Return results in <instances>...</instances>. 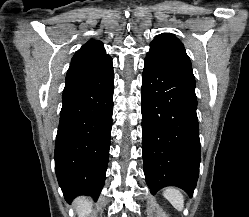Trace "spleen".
<instances>
[{"mask_svg":"<svg viewBox=\"0 0 249 217\" xmlns=\"http://www.w3.org/2000/svg\"><path fill=\"white\" fill-rule=\"evenodd\" d=\"M163 195L177 210H182L184 205V198L178 188H166L163 192Z\"/></svg>","mask_w":249,"mask_h":217,"instance_id":"3e777b00","label":"spleen"}]
</instances>
